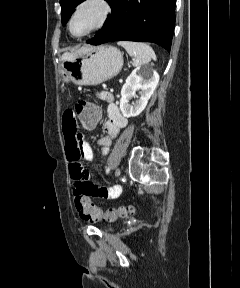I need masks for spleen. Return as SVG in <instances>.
Returning <instances> with one entry per match:
<instances>
[{
  "instance_id": "3e777b00",
  "label": "spleen",
  "mask_w": 240,
  "mask_h": 288,
  "mask_svg": "<svg viewBox=\"0 0 240 288\" xmlns=\"http://www.w3.org/2000/svg\"><path fill=\"white\" fill-rule=\"evenodd\" d=\"M119 46H122L127 53L134 57L133 65L141 66L149 61L156 60V55L153 49L146 43L133 41H118Z\"/></svg>"
}]
</instances>
